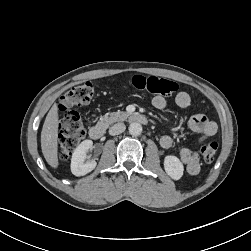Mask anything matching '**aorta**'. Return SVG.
Instances as JSON below:
<instances>
[{"label": "aorta", "mask_w": 251, "mask_h": 251, "mask_svg": "<svg viewBox=\"0 0 251 251\" xmlns=\"http://www.w3.org/2000/svg\"><path fill=\"white\" fill-rule=\"evenodd\" d=\"M128 129H129V133L131 135H133V136H138V135H140L142 133V126H141V124L136 123V122L131 123L129 125Z\"/></svg>", "instance_id": "aorta-1"}]
</instances>
